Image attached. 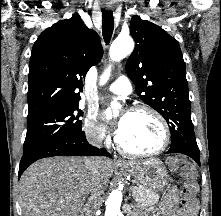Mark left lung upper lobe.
<instances>
[{
    "mask_svg": "<svg viewBox=\"0 0 221 216\" xmlns=\"http://www.w3.org/2000/svg\"><path fill=\"white\" fill-rule=\"evenodd\" d=\"M130 33L136 45L126 63V72L137 94L167 121L172 138L170 148L199 152L179 43L161 27L138 16L131 19Z\"/></svg>",
    "mask_w": 221,
    "mask_h": 216,
    "instance_id": "5c2ea615",
    "label": "left lung upper lobe"
}]
</instances>
